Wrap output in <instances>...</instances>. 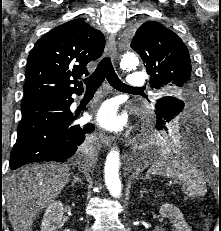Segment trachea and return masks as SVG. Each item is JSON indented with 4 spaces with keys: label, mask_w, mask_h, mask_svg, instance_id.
I'll return each mask as SVG.
<instances>
[{
    "label": "trachea",
    "mask_w": 221,
    "mask_h": 231,
    "mask_svg": "<svg viewBox=\"0 0 221 231\" xmlns=\"http://www.w3.org/2000/svg\"><path fill=\"white\" fill-rule=\"evenodd\" d=\"M105 78L113 88L119 91L142 90L141 88H132L124 84L118 78L110 58L108 57L103 58L93 74L84 80V83L86 84V90L96 91L101 86Z\"/></svg>",
    "instance_id": "3493384b"
}]
</instances>
